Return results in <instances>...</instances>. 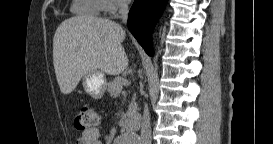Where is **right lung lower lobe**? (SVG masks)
Listing matches in <instances>:
<instances>
[{
  "instance_id": "right-lung-lower-lobe-1",
  "label": "right lung lower lobe",
  "mask_w": 273,
  "mask_h": 144,
  "mask_svg": "<svg viewBox=\"0 0 273 144\" xmlns=\"http://www.w3.org/2000/svg\"><path fill=\"white\" fill-rule=\"evenodd\" d=\"M166 2L167 0H135L129 12L128 28L150 56L153 55L150 33Z\"/></svg>"
}]
</instances>
